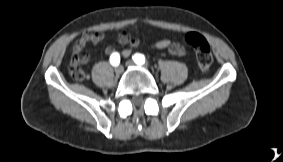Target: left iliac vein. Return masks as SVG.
Returning <instances> with one entry per match:
<instances>
[{"label":"left iliac vein","instance_id":"left-iliac-vein-1","mask_svg":"<svg viewBox=\"0 0 283 162\" xmlns=\"http://www.w3.org/2000/svg\"><path fill=\"white\" fill-rule=\"evenodd\" d=\"M126 66L134 67V66H136V64L132 60H128V61H126Z\"/></svg>","mask_w":283,"mask_h":162}]
</instances>
